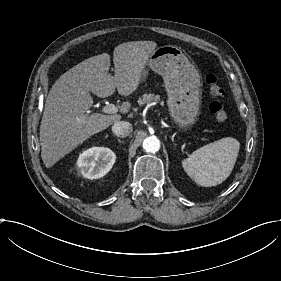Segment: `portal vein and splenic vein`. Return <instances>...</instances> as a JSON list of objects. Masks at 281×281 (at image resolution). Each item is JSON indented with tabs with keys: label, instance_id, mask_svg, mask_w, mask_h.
Returning a JSON list of instances; mask_svg holds the SVG:
<instances>
[{
	"label": "portal vein and splenic vein",
	"instance_id": "1",
	"mask_svg": "<svg viewBox=\"0 0 281 281\" xmlns=\"http://www.w3.org/2000/svg\"><path fill=\"white\" fill-rule=\"evenodd\" d=\"M102 111L104 113H107V114H115L118 112V108L112 104V103H107L103 108H102Z\"/></svg>",
	"mask_w": 281,
	"mask_h": 281
}]
</instances>
